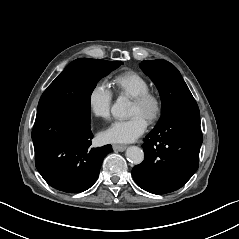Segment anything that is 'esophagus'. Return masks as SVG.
Returning a JSON list of instances; mask_svg holds the SVG:
<instances>
[{
  "label": "esophagus",
  "instance_id": "obj_1",
  "mask_svg": "<svg viewBox=\"0 0 239 239\" xmlns=\"http://www.w3.org/2000/svg\"><path fill=\"white\" fill-rule=\"evenodd\" d=\"M126 148L127 147L125 145H118V144L113 145V150L118 152H123L126 150Z\"/></svg>",
  "mask_w": 239,
  "mask_h": 239
}]
</instances>
